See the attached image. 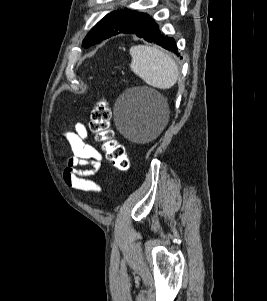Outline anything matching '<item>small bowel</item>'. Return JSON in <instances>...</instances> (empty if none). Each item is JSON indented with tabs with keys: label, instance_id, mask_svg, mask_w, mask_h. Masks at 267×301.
<instances>
[{
	"label": "small bowel",
	"instance_id": "obj_1",
	"mask_svg": "<svg viewBox=\"0 0 267 301\" xmlns=\"http://www.w3.org/2000/svg\"><path fill=\"white\" fill-rule=\"evenodd\" d=\"M64 137L72 151L66 161L63 178L66 184L76 190L99 193L102 187L90 179L100 168L102 155L89 143V133L83 123H77L72 130L64 132Z\"/></svg>",
	"mask_w": 267,
	"mask_h": 301
}]
</instances>
